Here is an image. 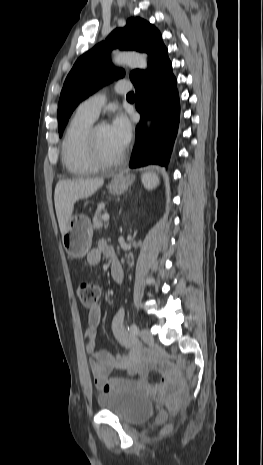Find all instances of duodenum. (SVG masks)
<instances>
[{
	"label": "duodenum",
	"mask_w": 263,
	"mask_h": 465,
	"mask_svg": "<svg viewBox=\"0 0 263 465\" xmlns=\"http://www.w3.org/2000/svg\"><path fill=\"white\" fill-rule=\"evenodd\" d=\"M111 275L115 282L119 283L123 279V269L117 258L111 257Z\"/></svg>",
	"instance_id": "410a0bca"
}]
</instances>
